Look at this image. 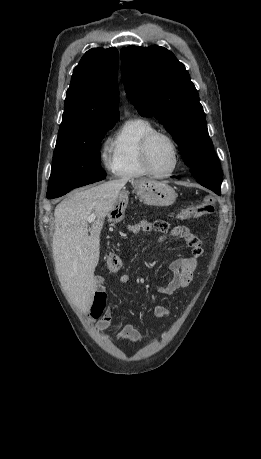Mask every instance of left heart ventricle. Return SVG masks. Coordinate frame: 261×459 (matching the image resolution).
<instances>
[{
    "label": "left heart ventricle",
    "mask_w": 261,
    "mask_h": 459,
    "mask_svg": "<svg viewBox=\"0 0 261 459\" xmlns=\"http://www.w3.org/2000/svg\"><path fill=\"white\" fill-rule=\"evenodd\" d=\"M174 151L170 142L159 137L154 140L150 150V162L157 173H167L174 165Z\"/></svg>",
    "instance_id": "obj_1"
}]
</instances>
